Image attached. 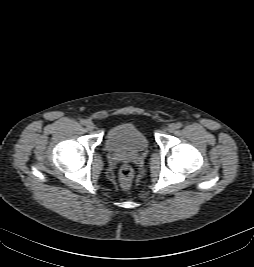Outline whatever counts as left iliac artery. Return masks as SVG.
<instances>
[{
    "mask_svg": "<svg viewBox=\"0 0 254 267\" xmlns=\"http://www.w3.org/2000/svg\"><path fill=\"white\" fill-rule=\"evenodd\" d=\"M176 127H177V129H179L182 127V124L180 122H178V123H176Z\"/></svg>",
    "mask_w": 254,
    "mask_h": 267,
    "instance_id": "left-iliac-artery-1",
    "label": "left iliac artery"
}]
</instances>
